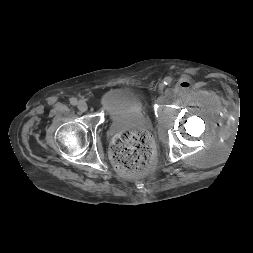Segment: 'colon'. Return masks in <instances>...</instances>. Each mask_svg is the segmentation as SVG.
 Listing matches in <instances>:
<instances>
[{"instance_id":"colon-1","label":"colon","mask_w":253,"mask_h":253,"mask_svg":"<svg viewBox=\"0 0 253 253\" xmlns=\"http://www.w3.org/2000/svg\"><path fill=\"white\" fill-rule=\"evenodd\" d=\"M110 154L116 170L121 175H139L151 165L152 140L143 131L124 130L114 137Z\"/></svg>"}]
</instances>
